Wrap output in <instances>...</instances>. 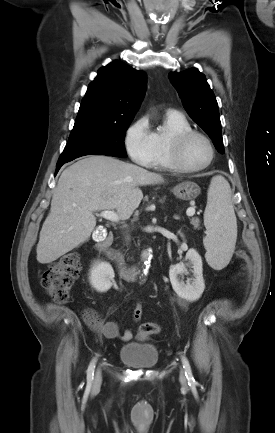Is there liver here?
<instances>
[{
	"label": "liver",
	"instance_id": "6515ba94",
	"mask_svg": "<svg viewBox=\"0 0 275 433\" xmlns=\"http://www.w3.org/2000/svg\"><path fill=\"white\" fill-rule=\"evenodd\" d=\"M163 182L160 174L109 156L93 155L72 164L54 190L40 231L37 261L52 263L88 240L96 211L116 210L120 219L130 218L143 198L139 186Z\"/></svg>",
	"mask_w": 275,
	"mask_h": 433
}]
</instances>
